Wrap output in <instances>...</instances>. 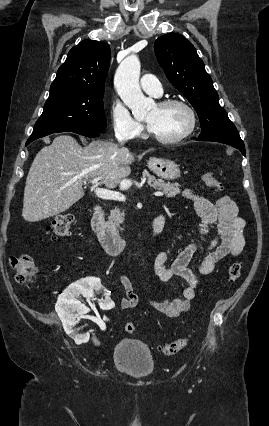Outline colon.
Returning a JSON list of instances; mask_svg holds the SVG:
<instances>
[{
    "label": "colon",
    "instance_id": "1",
    "mask_svg": "<svg viewBox=\"0 0 269 426\" xmlns=\"http://www.w3.org/2000/svg\"><path fill=\"white\" fill-rule=\"evenodd\" d=\"M202 179L210 188L220 190L222 187L221 182L215 178L211 172H205ZM73 223L74 216L72 214H59L54 218L52 224L48 228L47 235L51 240L65 237L70 233ZM10 266L14 271L15 281L21 284L30 282L38 272V267L34 259L26 254L11 257ZM241 271L242 265L240 263L232 264L228 271V281L230 283L235 282L240 277ZM124 329L128 333H134L136 331V326L133 322H126ZM189 342L190 339L187 337L179 338L174 342L163 344L160 346V350L163 354L171 356L185 348Z\"/></svg>",
    "mask_w": 269,
    "mask_h": 426
}]
</instances>
